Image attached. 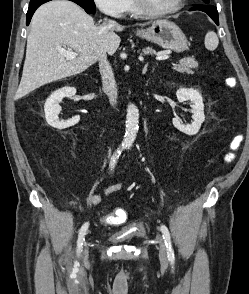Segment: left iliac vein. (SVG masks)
I'll use <instances>...</instances> for the list:
<instances>
[{
  "label": "left iliac vein",
  "instance_id": "left-iliac-vein-1",
  "mask_svg": "<svg viewBox=\"0 0 249 294\" xmlns=\"http://www.w3.org/2000/svg\"><path fill=\"white\" fill-rule=\"evenodd\" d=\"M157 240L159 243V258L162 263H167V248L165 246L164 240L160 234L157 235Z\"/></svg>",
  "mask_w": 249,
  "mask_h": 294
}]
</instances>
